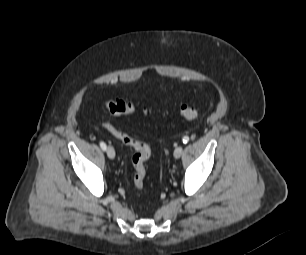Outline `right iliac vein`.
Segmentation results:
<instances>
[{
  "mask_svg": "<svg viewBox=\"0 0 306 255\" xmlns=\"http://www.w3.org/2000/svg\"><path fill=\"white\" fill-rule=\"evenodd\" d=\"M106 153H107V156L110 158V159H114L115 158V150L112 146H108L107 149H106Z\"/></svg>",
  "mask_w": 306,
  "mask_h": 255,
  "instance_id": "right-iliac-vein-1",
  "label": "right iliac vein"
}]
</instances>
